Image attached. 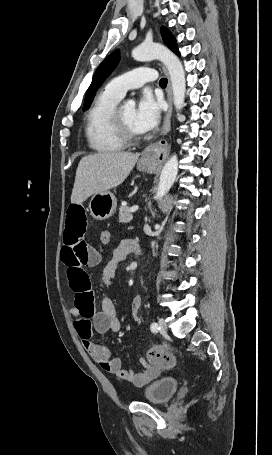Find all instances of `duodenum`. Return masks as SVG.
I'll list each match as a JSON object with an SVG mask.
<instances>
[{
    "instance_id": "obj_1",
    "label": "duodenum",
    "mask_w": 272,
    "mask_h": 455,
    "mask_svg": "<svg viewBox=\"0 0 272 455\" xmlns=\"http://www.w3.org/2000/svg\"><path fill=\"white\" fill-rule=\"evenodd\" d=\"M131 249H132V252L136 255H140L142 252L139 243L135 240H132Z\"/></svg>"
}]
</instances>
